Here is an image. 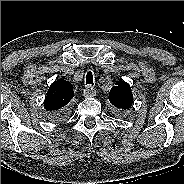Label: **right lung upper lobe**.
<instances>
[{"label":"right lung upper lobe","mask_w":184,"mask_h":184,"mask_svg":"<svg viewBox=\"0 0 184 184\" xmlns=\"http://www.w3.org/2000/svg\"><path fill=\"white\" fill-rule=\"evenodd\" d=\"M73 96L74 91L72 84L64 79H59L49 87L44 102V108L51 114L64 111L66 105Z\"/></svg>","instance_id":"1"}]
</instances>
